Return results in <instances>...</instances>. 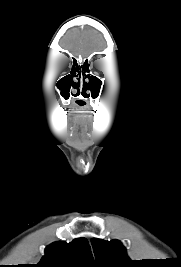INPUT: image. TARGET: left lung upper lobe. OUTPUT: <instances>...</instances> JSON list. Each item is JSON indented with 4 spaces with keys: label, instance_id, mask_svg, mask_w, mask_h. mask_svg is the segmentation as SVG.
I'll return each instance as SVG.
<instances>
[{
    "label": "left lung upper lobe",
    "instance_id": "obj_1",
    "mask_svg": "<svg viewBox=\"0 0 181 267\" xmlns=\"http://www.w3.org/2000/svg\"><path fill=\"white\" fill-rule=\"evenodd\" d=\"M92 246L96 259L94 267H134L138 264L127 256L126 248L118 240L93 238Z\"/></svg>",
    "mask_w": 181,
    "mask_h": 267
}]
</instances>
